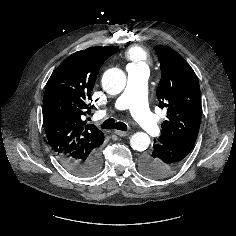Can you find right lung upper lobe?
<instances>
[{
    "mask_svg": "<svg viewBox=\"0 0 236 236\" xmlns=\"http://www.w3.org/2000/svg\"><path fill=\"white\" fill-rule=\"evenodd\" d=\"M117 46L91 47L65 59L49 78L43 97V123L48 143L59 160L80 161L100 149L104 135L83 116L90 113L96 77Z\"/></svg>",
    "mask_w": 236,
    "mask_h": 236,
    "instance_id": "cb5924a9",
    "label": "right lung upper lobe"
}]
</instances>
